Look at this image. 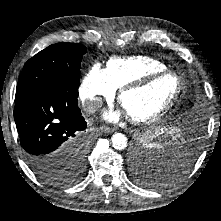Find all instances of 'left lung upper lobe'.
<instances>
[{
	"label": "left lung upper lobe",
	"instance_id": "5c2ea615",
	"mask_svg": "<svg viewBox=\"0 0 221 221\" xmlns=\"http://www.w3.org/2000/svg\"><path fill=\"white\" fill-rule=\"evenodd\" d=\"M148 146L145 144V147ZM149 151V149H148ZM148 162H152V159L149 158ZM148 162H145L144 160H140V162H137L136 163V166H135V171H134V177L135 179L141 183L142 185H145V186H149L150 181L149 179L151 177H153V174L155 172H153L152 168H148ZM147 163V164H146Z\"/></svg>",
	"mask_w": 221,
	"mask_h": 221
}]
</instances>
